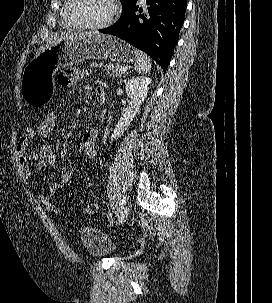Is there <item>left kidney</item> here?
Listing matches in <instances>:
<instances>
[{
  "label": "left kidney",
  "instance_id": "1",
  "mask_svg": "<svg viewBox=\"0 0 272 303\" xmlns=\"http://www.w3.org/2000/svg\"><path fill=\"white\" fill-rule=\"evenodd\" d=\"M151 82V78L146 76L132 77L127 81L125 89L131 101L123 110L122 115L115 126V129L111 135L112 141L122 136L130 126L133 118L138 113L140 106L147 97Z\"/></svg>",
  "mask_w": 272,
  "mask_h": 303
}]
</instances>
